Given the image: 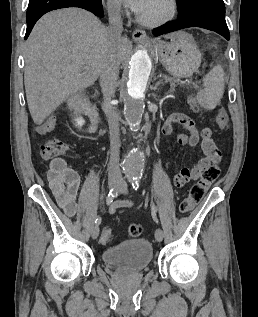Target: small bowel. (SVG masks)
Listing matches in <instances>:
<instances>
[{"instance_id":"small-bowel-1","label":"small bowel","mask_w":258,"mask_h":317,"mask_svg":"<svg viewBox=\"0 0 258 317\" xmlns=\"http://www.w3.org/2000/svg\"><path fill=\"white\" fill-rule=\"evenodd\" d=\"M86 113L90 117L91 130H94L97 123L96 110L93 106L88 105ZM55 123V118L49 117L38 126L37 130L40 134L49 133L54 129ZM174 123L179 124L188 133H181L177 136L179 144L193 147L201 142V148L204 154L193 167H183L175 176V186L183 187L189 181L197 180L207 166L218 164L221 161L222 154L213 138L212 130L208 127L200 130L195 122L183 113L171 114L162 127V133L164 135H170ZM48 182L59 206L68 216H75L78 211V195L80 191V176L77 171L63 158H55L50 163ZM130 205V201H116L110 206L109 212L113 213L118 208Z\"/></svg>"}]
</instances>
